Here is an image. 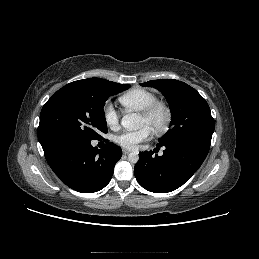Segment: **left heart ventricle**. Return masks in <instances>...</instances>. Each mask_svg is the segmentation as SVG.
Returning <instances> with one entry per match:
<instances>
[{"instance_id": "left-heart-ventricle-1", "label": "left heart ventricle", "mask_w": 259, "mask_h": 259, "mask_svg": "<svg viewBox=\"0 0 259 259\" xmlns=\"http://www.w3.org/2000/svg\"><path fill=\"white\" fill-rule=\"evenodd\" d=\"M163 120V112L157 111L150 119H145L143 116L140 115L139 117V126H147L150 129L155 128L158 126Z\"/></svg>"}]
</instances>
